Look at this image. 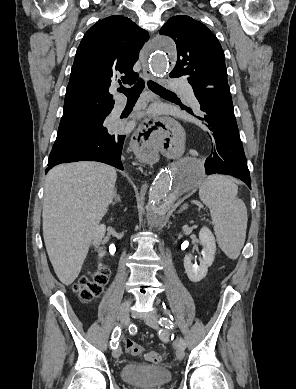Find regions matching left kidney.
Returning a JSON list of instances; mask_svg holds the SVG:
<instances>
[{
    "instance_id": "obj_1",
    "label": "left kidney",
    "mask_w": 296,
    "mask_h": 389,
    "mask_svg": "<svg viewBox=\"0 0 296 389\" xmlns=\"http://www.w3.org/2000/svg\"><path fill=\"white\" fill-rule=\"evenodd\" d=\"M200 243L203 246L202 258L200 259L199 265L193 264L192 255L187 254L184 257V268L190 281L197 283L201 281L208 272L214 261L216 253V243L212 232L207 228L203 227L199 232Z\"/></svg>"
}]
</instances>
